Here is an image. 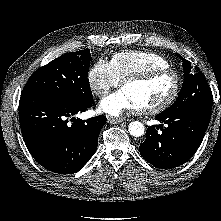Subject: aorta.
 <instances>
[{"mask_svg":"<svg viewBox=\"0 0 221 221\" xmlns=\"http://www.w3.org/2000/svg\"><path fill=\"white\" fill-rule=\"evenodd\" d=\"M128 131L130 135L134 137H140L144 134L145 128L144 125L139 121H134L129 124Z\"/></svg>","mask_w":221,"mask_h":221,"instance_id":"aorta-1","label":"aorta"}]
</instances>
